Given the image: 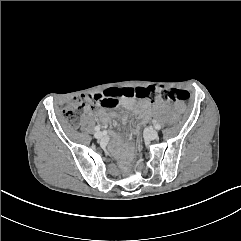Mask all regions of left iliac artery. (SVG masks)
I'll return each mask as SVG.
<instances>
[{
	"mask_svg": "<svg viewBox=\"0 0 241 241\" xmlns=\"http://www.w3.org/2000/svg\"><path fill=\"white\" fill-rule=\"evenodd\" d=\"M154 127H155L156 130H160L161 129V125L160 124H155Z\"/></svg>",
	"mask_w": 241,
	"mask_h": 241,
	"instance_id": "left-iliac-artery-1",
	"label": "left iliac artery"
}]
</instances>
